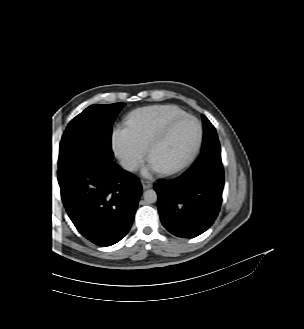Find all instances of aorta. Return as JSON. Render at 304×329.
I'll return each instance as SVG.
<instances>
[{
	"label": "aorta",
	"mask_w": 304,
	"mask_h": 329,
	"mask_svg": "<svg viewBox=\"0 0 304 329\" xmlns=\"http://www.w3.org/2000/svg\"><path fill=\"white\" fill-rule=\"evenodd\" d=\"M143 197H144V201L148 204H152L157 201V193L153 189L144 191Z\"/></svg>",
	"instance_id": "762f6f07"
}]
</instances>
